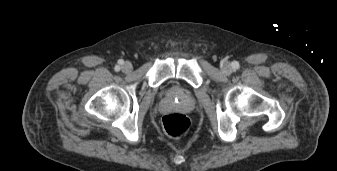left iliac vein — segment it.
Here are the masks:
<instances>
[{"label":"left iliac vein","mask_w":337,"mask_h":171,"mask_svg":"<svg viewBox=\"0 0 337 171\" xmlns=\"http://www.w3.org/2000/svg\"><path fill=\"white\" fill-rule=\"evenodd\" d=\"M221 69L224 73H227V74L232 72V67L229 62H224L221 66Z\"/></svg>","instance_id":"4c4485c4"}]
</instances>
